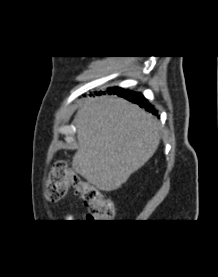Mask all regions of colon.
Listing matches in <instances>:
<instances>
[{
	"instance_id": "obj_1",
	"label": "colon",
	"mask_w": 218,
	"mask_h": 277,
	"mask_svg": "<svg viewBox=\"0 0 218 277\" xmlns=\"http://www.w3.org/2000/svg\"><path fill=\"white\" fill-rule=\"evenodd\" d=\"M74 188L88 205V222H109L115 217V205L111 198L80 177L65 161L54 163L46 182V197L58 201Z\"/></svg>"
}]
</instances>
